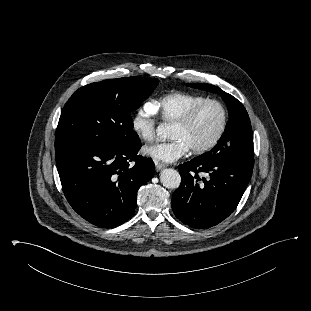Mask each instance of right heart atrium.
<instances>
[{
	"label": "right heart atrium",
	"instance_id": "right-heart-atrium-1",
	"mask_svg": "<svg viewBox=\"0 0 311 311\" xmlns=\"http://www.w3.org/2000/svg\"><path fill=\"white\" fill-rule=\"evenodd\" d=\"M155 110L152 102L145 103L133 115L131 128L135 135L142 141L153 140L156 132Z\"/></svg>",
	"mask_w": 311,
	"mask_h": 311
}]
</instances>
